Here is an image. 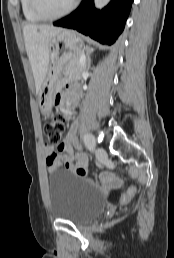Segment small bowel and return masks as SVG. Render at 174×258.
Returning a JSON list of instances; mask_svg holds the SVG:
<instances>
[{"instance_id":"small-bowel-1","label":"small bowel","mask_w":174,"mask_h":258,"mask_svg":"<svg viewBox=\"0 0 174 258\" xmlns=\"http://www.w3.org/2000/svg\"><path fill=\"white\" fill-rule=\"evenodd\" d=\"M75 96L74 88H67L61 90L55 96V103L59 106H63L65 101ZM67 116H71L70 112L66 113ZM78 122L74 121L68 131L66 138L60 142L57 147L54 145L45 143L44 154L45 162L50 173L58 170L60 167H65L74 174L84 176L91 179H102V184H125V179H113L109 171H91L90 175H87V155L80 150V145L77 140ZM118 174L117 172L115 173Z\"/></svg>"}]
</instances>
